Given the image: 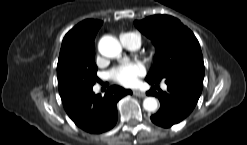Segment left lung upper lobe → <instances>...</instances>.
Wrapping results in <instances>:
<instances>
[{"label":"left lung upper lobe","mask_w":247,"mask_h":145,"mask_svg":"<svg viewBox=\"0 0 247 145\" xmlns=\"http://www.w3.org/2000/svg\"><path fill=\"white\" fill-rule=\"evenodd\" d=\"M135 26L153 41L157 49L154 66L146 81H160L173 75L204 78V62L200 45L193 32L177 18L153 15Z\"/></svg>","instance_id":"5c2ea615"}]
</instances>
